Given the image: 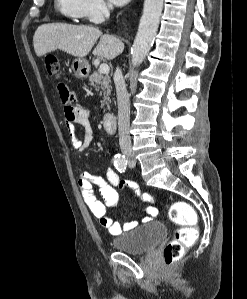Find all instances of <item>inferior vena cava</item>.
I'll list each match as a JSON object with an SVG mask.
<instances>
[{
	"instance_id": "obj_1",
	"label": "inferior vena cava",
	"mask_w": 247,
	"mask_h": 299,
	"mask_svg": "<svg viewBox=\"0 0 247 299\" xmlns=\"http://www.w3.org/2000/svg\"><path fill=\"white\" fill-rule=\"evenodd\" d=\"M102 12L106 18H109L110 12L106 5H103ZM114 83L118 101V134L120 149L122 153L129 154L132 152L131 138L129 135L130 102L123 74L119 67L116 68L114 73Z\"/></svg>"
}]
</instances>
